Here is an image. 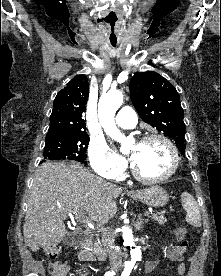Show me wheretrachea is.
Instances as JSON below:
<instances>
[{
	"mask_svg": "<svg viewBox=\"0 0 221 276\" xmlns=\"http://www.w3.org/2000/svg\"><path fill=\"white\" fill-rule=\"evenodd\" d=\"M114 34V32H112ZM112 46H116V42H111Z\"/></svg>",
	"mask_w": 221,
	"mask_h": 276,
	"instance_id": "1",
	"label": "trachea"
}]
</instances>
